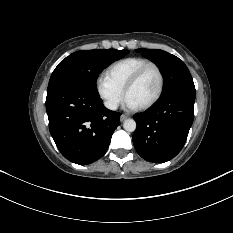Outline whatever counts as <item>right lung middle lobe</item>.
Segmentation results:
<instances>
[{
	"label": "right lung middle lobe",
	"instance_id": "dd1d6c3e",
	"mask_svg": "<svg viewBox=\"0 0 233 233\" xmlns=\"http://www.w3.org/2000/svg\"><path fill=\"white\" fill-rule=\"evenodd\" d=\"M129 51L96 49L77 51L63 59L53 71L48 88L74 86L98 94L96 80L99 73Z\"/></svg>",
	"mask_w": 233,
	"mask_h": 233
}]
</instances>
